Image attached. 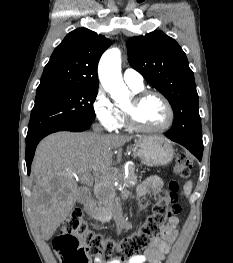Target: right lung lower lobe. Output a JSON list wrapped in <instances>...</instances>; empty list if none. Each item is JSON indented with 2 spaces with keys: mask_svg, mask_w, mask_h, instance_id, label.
Returning <instances> with one entry per match:
<instances>
[{
  "mask_svg": "<svg viewBox=\"0 0 233 263\" xmlns=\"http://www.w3.org/2000/svg\"><path fill=\"white\" fill-rule=\"evenodd\" d=\"M91 124L92 121L61 124L47 128L30 138H26V164L28 174H30L31 163L35 154L36 146L42 138L57 131H84L87 130L91 126Z\"/></svg>",
  "mask_w": 233,
  "mask_h": 263,
  "instance_id": "obj_1",
  "label": "right lung lower lobe"
}]
</instances>
